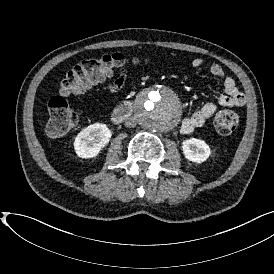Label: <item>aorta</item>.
<instances>
[{
  "label": "aorta",
  "mask_w": 274,
  "mask_h": 274,
  "mask_svg": "<svg viewBox=\"0 0 274 274\" xmlns=\"http://www.w3.org/2000/svg\"><path fill=\"white\" fill-rule=\"evenodd\" d=\"M182 111L176 94L165 87H156L140 96L135 104V119L152 131H166L180 121Z\"/></svg>",
  "instance_id": "1"
}]
</instances>
